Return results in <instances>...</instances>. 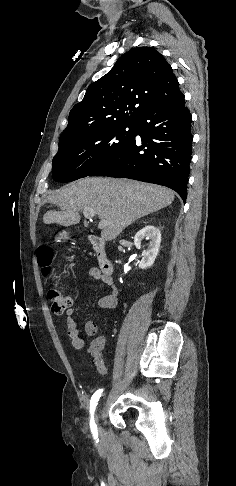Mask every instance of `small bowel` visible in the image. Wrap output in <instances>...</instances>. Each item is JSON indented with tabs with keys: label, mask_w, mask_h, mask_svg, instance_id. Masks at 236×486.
Here are the masks:
<instances>
[{
	"label": "small bowel",
	"mask_w": 236,
	"mask_h": 486,
	"mask_svg": "<svg viewBox=\"0 0 236 486\" xmlns=\"http://www.w3.org/2000/svg\"><path fill=\"white\" fill-rule=\"evenodd\" d=\"M89 274L94 280L101 281L109 288V294L101 297L97 301L98 307L103 309H114L118 302V288L114 284L112 277L102 274L101 271L96 267L91 268ZM75 311V308H71L66 311L67 335L73 347L77 350H81L84 347V340L80 338L78 334L77 323L74 318ZM85 332L88 336H94L97 333L96 323L92 320L87 321L85 324ZM104 343V337H98L93 340L90 345V352L96 358V367L101 374H106L107 369L102 360L97 357V354L103 348Z\"/></svg>",
	"instance_id": "c3829d8e"
}]
</instances>
